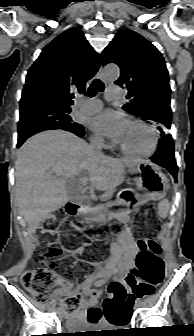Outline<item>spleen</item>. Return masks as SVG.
Wrapping results in <instances>:
<instances>
[{"instance_id": "spleen-1", "label": "spleen", "mask_w": 194, "mask_h": 336, "mask_svg": "<svg viewBox=\"0 0 194 336\" xmlns=\"http://www.w3.org/2000/svg\"><path fill=\"white\" fill-rule=\"evenodd\" d=\"M158 210H159V215L162 218L167 217V215L169 213V210H170V203H169L168 199H164L159 203Z\"/></svg>"}]
</instances>
